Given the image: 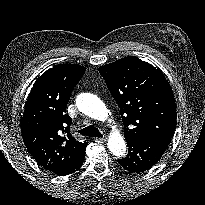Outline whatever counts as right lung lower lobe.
I'll use <instances>...</instances> for the list:
<instances>
[{
  "instance_id": "98d812e1",
  "label": "right lung lower lobe",
  "mask_w": 205,
  "mask_h": 205,
  "mask_svg": "<svg viewBox=\"0 0 205 205\" xmlns=\"http://www.w3.org/2000/svg\"><path fill=\"white\" fill-rule=\"evenodd\" d=\"M84 156L82 155L76 160H74L71 164H69L66 168H64L62 171L58 172L60 175H68L71 174L75 169L80 168V166L83 164Z\"/></svg>"
}]
</instances>
